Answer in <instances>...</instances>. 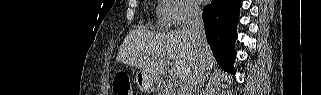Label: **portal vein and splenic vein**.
I'll return each instance as SVG.
<instances>
[{"label":"portal vein and splenic vein","mask_w":321,"mask_h":95,"mask_svg":"<svg viewBox=\"0 0 321 95\" xmlns=\"http://www.w3.org/2000/svg\"><path fill=\"white\" fill-rule=\"evenodd\" d=\"M169 85H170L171 87H176V86H178L177 78L173 76V77L170 79V81H169Z\"/></svg>","instance_id":"1"}]
</instances>
